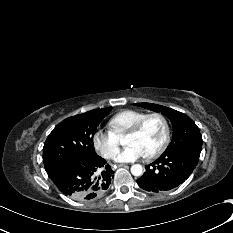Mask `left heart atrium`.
Segmentation results:
<instances>
[{
    "instance_id": "obj_1",
    "label": "left heart atrium",
    "mask_w": 233,
    "mask_h": 233,
    "mask_svg": "<svg viewBox=\"0 0 233 233\" xmlns=\"http://www.w3.org/2000/svg\"><path fill=\"white\" fill-rule=\"evenodd\" d=\"M144 156H146V154L139 146L136 144H129L115 156V160L118 162H131Z\"/></svg>"
}]
</instances>
